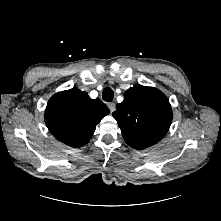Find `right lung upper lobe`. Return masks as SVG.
<instances>
[{
  "mask_svg": "<svg viewBox=\"0 0 221 221\" xmlns=\"http://www.w3.org/2000/svg\"><path fill=\"white\" fill-rule=\"evenodd\" d=\"M110 113L99 99L72 88L53 95L45 110V122L56 139L71 147H82L92 137L96 125Z\"/></svg>",
  "mask_w": 221,
  "mask_h": 221,
  "instance_id": "right-lung-upper-lobe-1",
  "label": "right lung upper lobe"
}]
</instances>
